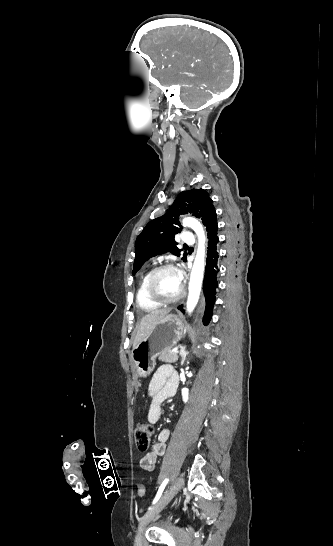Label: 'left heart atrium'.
Masks as SVG:
<instances>
[{
  "instance_id": "left-heart-atrium-1",
  "label": "left heart atrium",
  "mask_w": 333,
  "mask_h": 546,
  "mask_svg": "<svg viewBox=\"0 0 333 546\" xmlns=\"http://www.w3.org/2000/svg\"><path fill=\"white\" fill-rule=\"evenodd\" d=\"M177 274H178L179 281L182 283V274L180 272H177Z\"/></svg>"
}]
</instances>
